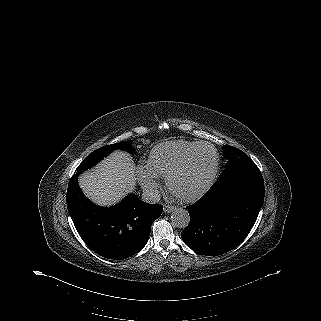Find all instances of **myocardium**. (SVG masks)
I'll list each match as a JSON object with an SVG mask.
<instances>
[{"instance_id":"1","label":"myocardium","mask_w":321,"mask_h":321,"mask_svg":"<svg viewBox=\"0 0 321 321\" xmlns=\"http://www.w3.org/2000/svg\"><path fill=\"white\" fill-rule=\"evenodd\" d=\"M201 147L211 148L213 151V154H214L215 163H214V169H213L210 179L201 189H199L198 191H196L190 195L183 196V195L175 193L172 189V181H173L174 177L188 167V165L191 162V159L195 155L196 151ZM218 169H219V156H218L217 150L210 143L200 142L178 164H176L174 167H172L171 170L167 173V175L165 176V182H166L167 189L172 196H174L176 199H178L180 201H184V202L193 201V200L197 199L198 197H200L201 195H203L205 192H207L209 190V188L214 184V182L217 178Z\"/></svg>"}]
</instances>
